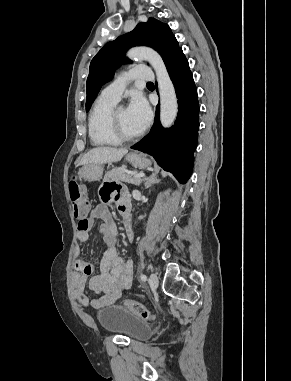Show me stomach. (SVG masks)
Here are the masks:
<instances>
[{"label": "stomach", "mask_w": 291, "mask_h": 381, "mask_svg": "<svg viewBox=\"0 0 291 381\" xmlns=\"http://www.w3.org/2000/svg\"><path fill=\"white\" fill-rule=\"evenodd\" d=\"M126 160L136 168L148 167L151 164L149 159L136 152L127 154ZM78 174L87 181H97L102 177L103 166L101 164H87L80 169Z\"/></svg>", "instance_id": "0dacf381"}]
</instances>
